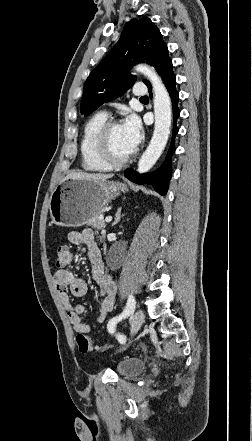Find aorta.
Instances as JSON below:
<instances>
[{
    "instance_id": "obj_1",
    "label": "aorta",
    "mask_w": 252,
    "mask_h": 441,
    "mask_svg": "<svg viewBox=\"0 0 252 441\" xmlns=\"http://www.w3.org/2000/svg\"><path fill=\"white\" fill-rule=\"evenodd\" d=\"M135 70L144 74L151 82L154 93L155 125L151 141L138 162L139 173L149 171L161 156L170 134L172 110L169 93L153 68L139 64Z\"/></svg>"
}]
</instances>
